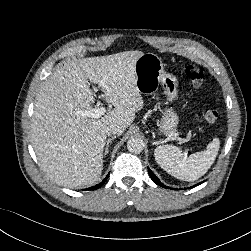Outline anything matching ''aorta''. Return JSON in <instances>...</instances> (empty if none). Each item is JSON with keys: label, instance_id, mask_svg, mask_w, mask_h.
Instances as JSON below:
<instances>
[{"label": "aorta", "instance_id": "1", "mask_svg": "<svg viewBox=\"0 0 251 251\" xmlns=\"http://www.w3.org/2000/svg\"><path fill=\"white\" fill-rule=\"evenodd\" d=\"M144 142L141 138L138 137H131L128 141H127V149L131 152V153H135V154H139L143 151L144 149Z\"/></svg>", "mask_w": 251, "mask_h": 251}]
</instances>
